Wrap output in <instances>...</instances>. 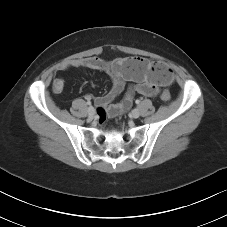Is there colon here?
I'll list each match as a JSON object with an SVG mask.
<instances>
[{"label":"colon","mask_w":227,"mask_h":227,"mask_svg":"<svg viewBox=\"0 0 227 227\" xmlns=\"http://www.w3.org/2000/svg\"><path fill=\"white\" fill-rule=\"evenodd\" d=\"M151 66L153 69L161 72L167 78H172L171 70L162 62H151ZM160 97L163 101L169 102L171 100V94L168 90H163L160 94ZM107 116V110L99 106L97 109V118L100 123L105 122Z\"/></svg>","instance_id":"5ec220e1"}]
</instances>
